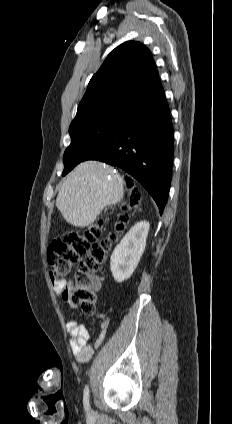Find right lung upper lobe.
I'll use <instances>...</instances> for the list:
<instances>
[{
    "instance_id": "cb5924a9",
    "label": "right lung upper lobe",
    "mask_w": 232,
    "mask_h": 424,
    "mask_svg": "<svg viewBox=\"0 0 232 424\" xmlns=\"http://www.w3.org/2000/svg\"><path fill=\"white\" fill-rule=\"evenodd\" d=\"M162 88L150 50L128 41L115 48L91 78L77 113L109 103L133 105Z\"/></svg>"
}]
</instances>
